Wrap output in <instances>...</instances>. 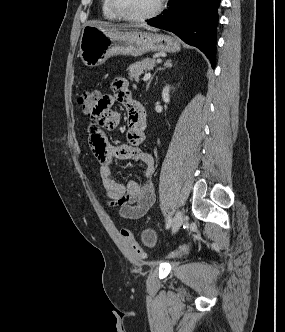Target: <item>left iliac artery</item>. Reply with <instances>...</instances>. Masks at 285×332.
I'll list each match as a JSON object with an SVG mask.
<instances>
[{
  "instance_id": "left-iliac-artery-1",
  "label": "left iliac artery",
  "mask_w": 285,
  "mask_h": 332,
  "mask_svg": "<svg viewBox=\"0 0 285 332\" xmlns=\"http://www.w3.org/2000/svg\"><path fill=\"white\" fill-rule=\"evenodd\" d=\"M171 223H172L171 216L168 215V217H167V221H166V229H168V228L171 226Z\"/></svg>"
}]
</instances>
